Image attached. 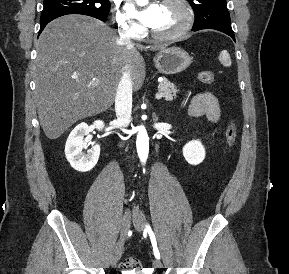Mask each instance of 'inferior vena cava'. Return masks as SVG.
<instances>
[{
    "label": "inferior vena cava",
    "mask_w": 289,
    "mask_h": 274,
    "mask_svg": "<svg viewBox=\"0 0 289 274\" xmlns=\"http://www.w3.org/2000/svg\"><path fill=\"white\" fill-rule=\"evenodd\" d=\"M120 39L125 45H132L131 37L127 30L119 31ZM132 110V80L128 70H124L117 87L115 96V111L117 122L121 126H127L130 122Z\"/></svg>",
    "instance_id": "inferior-vena-cava-1"
}]
</instances>
